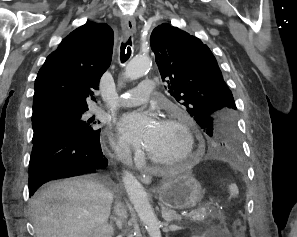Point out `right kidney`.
<instances>
[{
    "label": "right kidney",
    "mask_w": 297,
    "mask_h": 237,
    "mask_svg": "<svg viewBox=\"0 0 297 237\" xmlns=\"http://www.w3.org/2000/svg\"><path fill=\"white\" fill-rule=\"evenodd\" d=\"M114 234V229L111 225L104 224L98 227L92 237H112Z\"/></svg>",
    "instance_id": "right-kidney-1"
}]
</instances>
